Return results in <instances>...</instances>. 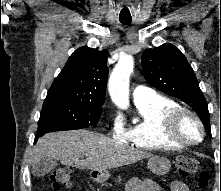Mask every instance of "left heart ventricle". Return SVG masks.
<instances>
[{
    "label": "left heart ventricle",
    "mask_w": 221,
    "mask_h": 191,
    "mask_svg": "<svg viewBox=\"0 0 221 191\" xmlns=\"http://www.w3.org/2000/svg\"><path fill=\"white\" fill-rule=\"evenodd\" d=\"M184 134L190 139H197L199 136L198 128L191 121H185L182 125Z\"/></svg>",
    "instance_id": "obj_1"
}]
</instances>
